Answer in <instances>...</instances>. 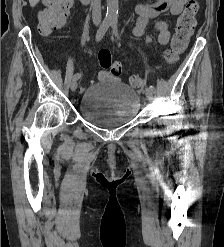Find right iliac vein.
I'll return each instance as SVG.
<instances>
[{"label":"right iliac vein","instance_id":"right-iliac-vein-1","mask_svg":"<svg viewBox=\"0 0 224 247\" xmlns=\"http://www.w3.org/2000/svg\"><path fill=\"white\" fill-rule=\"evenodd\" d=\"M71 91H75L77 88V80L73 79L70 85Z\"/></svg>","mask_w":224,"mask_h":247}]
</instances>
